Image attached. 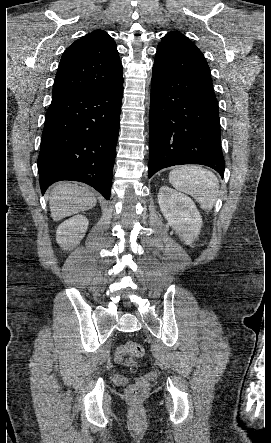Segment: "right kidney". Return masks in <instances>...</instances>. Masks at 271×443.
<instances>
[{"label":"right kidney","instance_id":"ca27d5eb","mask_svg":"<svg viewBox=\"0 0 271 443\" xmlns=\"http://www.w3.org/2000/svg\"><path fill=\"white\" fill-rule=\"evenodd\" d=\"M88 227V220L82 214L73 216L60 223L56 229V241L63 249H73L83 239Z\"/></svg>","mask_w":271,"mask_h":443}]
</instances>
